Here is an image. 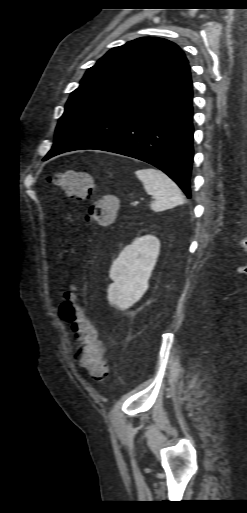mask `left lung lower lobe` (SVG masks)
<instances>
[{"mask_svg":"<svg viewBox=\"0 0 247 513\" xmlns=\"http://www.w3.org/2000/svg\"><path fill=\"white\" fill-rule=\"evenodd\" d=\"M192 81L189 65L131 102L98 118L45 156L97 149L150 163L191 197L193 162Z\"/></svg>","mask_w":247,"mask_h":513,"instance_id":"0a47b994","label":"left lung lower lobe"}]
</instances>
